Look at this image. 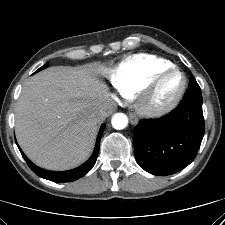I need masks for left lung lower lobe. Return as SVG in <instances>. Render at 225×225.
<instances>
[{
  "label": "left lung lower lobe",
  "mask_w": 225,
  "mask_h": 225,
  "mask_svg": "<svg viewBox=\"0 0 225 225\" xmlns=\"http://www.w3.org/2000/svg\"><path fill=\"white\" fill-rule=\"evenodd\" d=\"M204 130L201 91L189 89L171 113L155 120H141L136 126V160L153 175L174 174L194 160Z\"/></svg>",
  "instance_id": "left-lung-lower-lobe-1"
}]
</instances>
